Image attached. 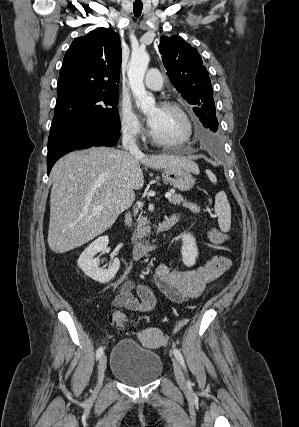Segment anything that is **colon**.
Masks as SVG:
<instances>
[{"label": "colon", "mask_w": 299, "mask_h": 427, "mask_svg": "<svg viewBox=\"0 0 299 427\" xmlns=\"http://www.w3.org/2000/svg\"><path fill=\"white\" fill-rule=\"evenodd\" d=\"M112 322L120 332L127 334L134 333V327L129 323L125 314L121 312H115L112 317Z\"/></svg>", "instance_id": "1"}]
</instances>
